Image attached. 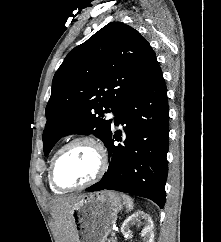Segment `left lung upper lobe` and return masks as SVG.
I'll list each match as a JSON object with an SVG mask.
<instances>
[{"mask_svg":"<svg viewBox=\"0 0 221 242\" xmlns=\"http://www.w3.org/2000/svg\"><path fill=\"white\" fill-rule=\"evenodd\" d=\"M159 68L149 43L132 27L111 22L74 48L54 75L46 107L44 154L69 134H93L103 142L125 101Z\"/></svg>","mask_w":221,"mask_h":242,"instance_id":"left-lung-upper-lobe-1","label":"left lung upper lobe"}]
</instances>
